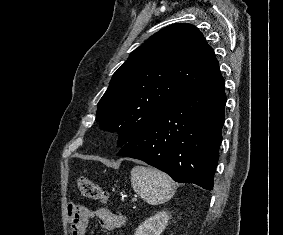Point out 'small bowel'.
I'll list each match as a JSON object with an SVG mask.
<instances>
[{"label":"small bowel","instance_id":"small-bowel-1","mask_svg":"<svg viewBox=\"0 0 283 235\" xmlns=\"http://www.w3.org/2000/svg\"><path fill=\"white\" fill-rule=\"evenodd\" d=\"M93 217L99 220L100 226L106 231L118 229L126 221L125 216L121 214L103 209L92 211L81 205L69 204L67 206V219L70 223L71 235H85L89 220Z\"/></svg>","mask_w":283,"mask_h":235}]
</instances>
